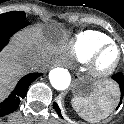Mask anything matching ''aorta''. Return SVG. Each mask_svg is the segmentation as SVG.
<instances>
[{"label": "aorta", "instance_id": "obj_1", "mask_svg": "<svg viewBox=\"0 0 124 124\" xmlns=\"http://www.w3.org/2000/svg\"><path fill=\"white\" fill-rule=\"evenodd\" d=\"M50 83L56 90H65L69 87L71 76L64 68H54L49 73Z\"/></svg>", "mask_w": 124, "mask_h": 124}]
</instances>
